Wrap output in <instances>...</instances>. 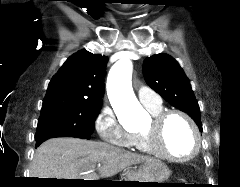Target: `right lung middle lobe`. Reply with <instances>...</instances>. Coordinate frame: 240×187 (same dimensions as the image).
<instances>
[{
  "instance_id": "obj_1",
  "label": "right lung middle lobe",
  "mask_w": 240,
  "mask_h": 187,
  "mask_svg": "<svg viewBox=\"0 0 240 187\" xmlns=\"http://www.w3.org/2000/svg\"><path fill=\"white\" fill-rule=\"evenodd\" d=\"M100 104L63 103L41 109L36 141L47 137H77L90 139Z\"/></svg>"
}]
</instances>
